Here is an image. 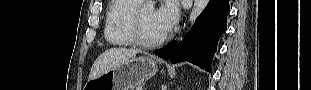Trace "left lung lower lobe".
<instances>
[{"label":"left lung lower lobe","instance_id":"obj_1","mask_svg":"<svg viewBox=\"0 0 311 90\" xmlns=\"http://www.w3.org/2000/svg\"><path fill=\"white\" fill-rule=\"evenodd\" d=\"M229 12V0H210L182 42L173 41L155 53L171 59L172 63L189 61L210 72L218 40L227 28Z\"/></svg>","mask_w":311,"mask_h":90}]
</instances>
